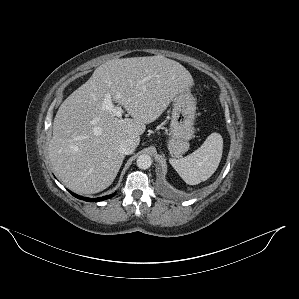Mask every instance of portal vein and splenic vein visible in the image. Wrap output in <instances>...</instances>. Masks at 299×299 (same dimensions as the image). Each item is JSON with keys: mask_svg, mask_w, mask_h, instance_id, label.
Wrapping results in <instances>:
<instances>
[{"mask_svg": "<svg viewBox=\"0 0 299 299\" xmlns=\"http://www.w3.org/2000/svg\"><path fill=\"white\" fill-rule=\"evenodd\" d=\"M102 105L103 109L113 112L116 117H122V109L113 105L110 95L105 97Z\"/></svg>", "mask_w": 299, "mask_h": 299, "instance_id": "1", "label": "portal vein and splenic vein"}]
</instances>
